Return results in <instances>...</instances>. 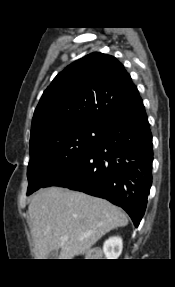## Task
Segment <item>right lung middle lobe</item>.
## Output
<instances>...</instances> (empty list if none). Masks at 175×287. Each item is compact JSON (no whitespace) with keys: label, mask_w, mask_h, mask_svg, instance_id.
Returning <instances> with one entry per match:
<instances>
[{"label":"right lung middle lobe","mask_w":175,"mask_h":287,"mask_svg":"<svg viewBox=\"0 0 175 287\" xmlns=\"http://www.w3.org/2000/svg\"><path fill=\"white\" fill-rule=\"evenodd\" d=\"M104 130L100 124H81L31 142L27 195L84 158L101 140Z\"/></svg>","instance_id":"1"}]
</instances>
